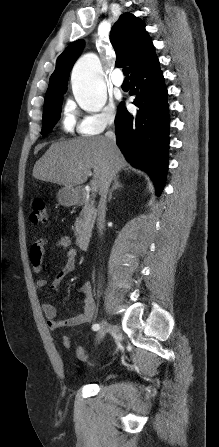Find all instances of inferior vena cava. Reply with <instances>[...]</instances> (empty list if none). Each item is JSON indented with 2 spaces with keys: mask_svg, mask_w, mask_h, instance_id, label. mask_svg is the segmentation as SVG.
<instances>
[{
  "mask_svg": "<svg viewBox=\"0 0 219 447\" xmlns=\"http://www.w3.org/2000/svg\"><path fill=\"white\" fill-rule=\"evenodd\" d=\"M105 137L109 143V147L112 150L113 146H115V133L112 130H108L105 133ZM116 175V171L114 168H112L106 178L103 181L102 187L100 189V202H99V206H100V214L99 217L97 219V228H98V232L100 234H103V230H105V204H106V198H107V194H108V190L110 187V184L112 182V180L115 178Z\"/></svg>",
  "mask_w": 219,
  "mask_h": 447,
  "instance_id": "obj_1",
  "label": "inferior vena cava"
}]
</instances>
